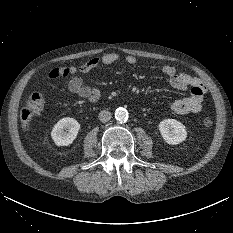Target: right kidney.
I'll return each mask as SVG.
<instances>
[{
    "mask_svg": "<svg viewBox=\"0 0 233 233\" xmlns=\"http://www.w3.org/2000/svg\"><path fill=\"white\" fill-rule=\"evenodd\" d=\"M80 130L77 120L70 117L60 119L51 131V137L57 146H68L76 139Z\"/></svg>",
    "mask_w": 233,
    "mask_h": 233,
    "instance_id": "1",
    "label": "right kidney"
}]
</instances>
